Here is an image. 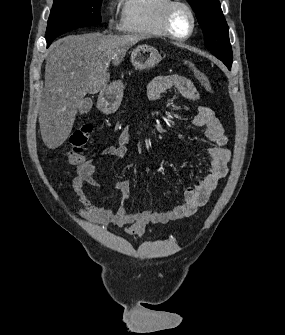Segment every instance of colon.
Instances as JSON below:
<instances>
[{
  "mask_svg": "<svg viewBox=\"0 0 285 335\" xmlns=\"http://www.w3.org/2000/svg\"><path fill=\"white\" fill-rule=\"evenodd\" d=\"M186 66L207 91H213L210 79L201 69L191 62H187ZM92 131L93 127L91 124H84L74 130L70 136L71 149L67 154V159L70 164L82 165L87 162L84 147L89 141Z\"/></svg>",
  "mask_w": 285,
  "mask_h": 335,
  "instance_id": "obj_1",
  "label": "colon"
}]
</instances>
